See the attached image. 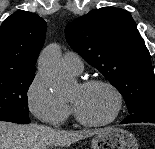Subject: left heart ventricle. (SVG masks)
Returning a JSON list of instances; mask_svg holds the SVG:
<instances>
[{"label": "left heart ventricle", "instance_id": "1", "mask_svg": "<svg viewBox=\"0 0 155 149\" xmlns=\"http://www.w3.org/2000/svg\"><path fill=\"white\" fill-rule=\"evenodd\" d=\"M70 102L90 121H103L109 118L115 105L112 93L102 86L83 88L79 85L73 91Z\"/></svg>", "mask_w": 155, "mask_h": 149}]
</instances>
